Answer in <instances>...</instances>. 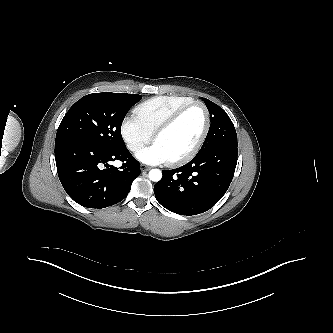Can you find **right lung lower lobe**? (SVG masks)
Returning <instances> with one entry per match:
<instances>
[{
  "label": "right lung lower lobe",
  "instance_id": "obj_1",
  "mask_svg": "<svg viewBox=\"0 0 333 333\" xmlns=\"http://www.w3.org/2000/svg\"><path fill=\"white\" fill-rule=\"evenodd\" d=\"M55 160L67 194L88 208H105L122 201L133 180L140 175V163L126 146L106 150L72 140H59L55 141ZM115 160L123 162L120 170L109 165Z\"/></svg>",
  "mask_w": 333,
  "mask_h": 333
}]
</instances>
